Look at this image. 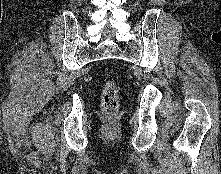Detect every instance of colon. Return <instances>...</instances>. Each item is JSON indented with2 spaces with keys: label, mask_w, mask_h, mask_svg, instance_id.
Here are the masks:
<instances>
[{
  "label": "colon",
  "mask_w": 221,
  "mask_h": 174,
  "mask_svg": "<svg viewBox=\"0 0 221 174\" xmlns=\"http://www.w3.org/2000/svg\"><path fill=\"white\" fill-rule=\"evenodd\" d=\"M119 108V89L116 82L109 79L105 82L102 93V111L104 115L111 119Z\"/></svg>",
  "instance_id": "1"
}]
</instances>
